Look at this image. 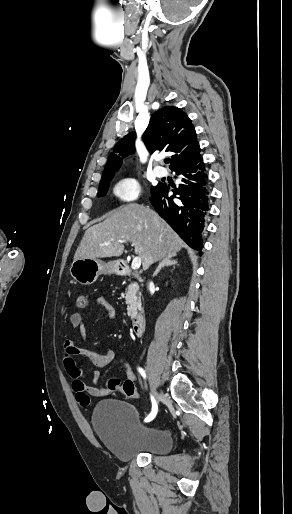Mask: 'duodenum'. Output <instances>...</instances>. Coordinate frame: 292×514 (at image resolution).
<instances>
[{
	"label": "duodenum",
	"instance_id": "410a0bca",
	"mask_svg": "<svg viewBox=\"0 0 292 514\" xmlns=\"http://www.w3.org/2000/svg\"><path fill=\"white\" fill-rule=\"evenodd\" d=\"M122 274L125 276L133 277L138 282L143 281V278L140 276V274L137 271L133 270L131 267H126V269H124L122 271ZM143 324H144V316L142 314L133 317L132 321H131L132 331L135 334L140 333L141 330L143 329Z\"/></svg>",
	"mask_w": 292,
	"mask_h": 514
}]
</instances>
